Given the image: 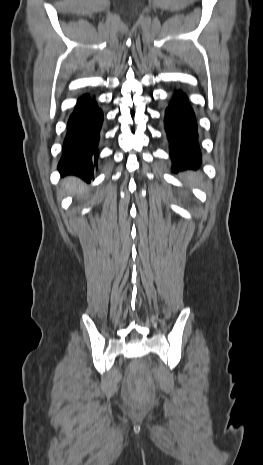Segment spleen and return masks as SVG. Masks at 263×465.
I'll use <instances>...</instances> for the list:
<instances>
[{"mask_svg": "<svg viewBox=\"0 0 263 465\" xmlns=\"http://www.w3.org/2000/svg\"><path fill=\"white\" fill-rule=\"evenodd\" d=\"M192 178H193V175H190V176H189V180H191Z\"/></svg>", "mask_w": 263, "mask_h": 465, "instance_id": "spleen-1", "label": "spleen"}]
</instances>
